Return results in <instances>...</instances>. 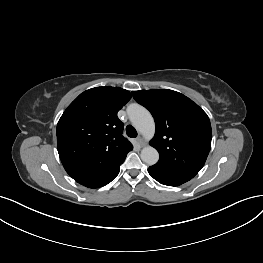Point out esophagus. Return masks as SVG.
Here are the masks:
<instances>
[{"label":"esophagus","mask_w":263,"mask_h":263,"mask_svg":"<svg viewBox=\"0 0 263 263\" xmlns=\"http://www.w3.org/2000/svg\"><path fill=\"white\" fill-rule=\"evenodd\" d=\"M136 141H137L138 145L141 147L145 145V141L141 136L137 137Z\"/></svg>","instance_id":"34e87169"}]
</instances>
